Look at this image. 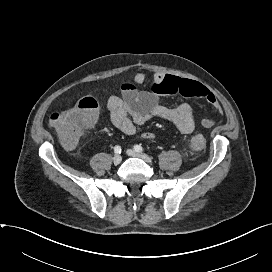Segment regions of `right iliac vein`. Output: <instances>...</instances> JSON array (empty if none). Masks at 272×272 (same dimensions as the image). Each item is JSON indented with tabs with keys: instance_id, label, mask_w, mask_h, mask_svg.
Returning <instances> with one entry per match:
<instances>
[{
	"instance_id": "1",
	"label": "right iliac vein",
	"mask_w": 272,
	"mask_h": 272,
	"mask_svg": "<svg viewBox=\"0 0 272 272\" xmlns=\"http://www.w3.org/2000/svg\"><path fill=\"white\" fill-rule=\"evenodd\" d=\"M121 161H122V157H121V155L116 154V155L113 157V163H114L115 165L120 164V163H121Z\"/></svg>"
}]
</instances>
